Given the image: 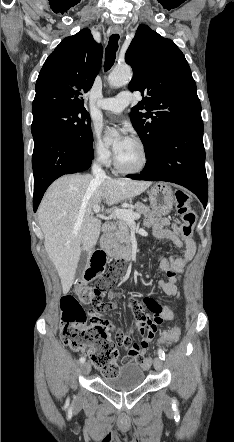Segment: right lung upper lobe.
Returning <instances> with one entry per match:
<instances>
[{
    "label": "right lung upper lobe",
    "instance_id": "1",
    "mask_svg": "<svg viewBox=\"0 0 234 442\" xmlns=\"http://www.w3.org/2000/svg\"><path fill=\"white\" fill-rule=\"evenodd\" d=\"M101 59L102 45L89 29L62 40L39 73L33 116L55 109L84 108L81 95L91 89Z\"/></svg>",
    "mask_w": 234,
    "mask_h": 442
}]
</instances>
